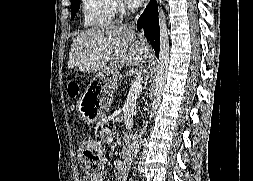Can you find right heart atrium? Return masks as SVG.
<instances>
[{"label": "right heart atrium", "mask_w": 253, "mask_h": 181, "mask_svg": "<svg viewBox=\"0 0 253 181\" xmlns=\"http://www.w3.org/2000/svg\"><path fill=\"white\" fill-rule=\"evenodd\" d=\"M116 12L124 14L127 11V6L122 0H114Z\"/></svg>", "instance_id": "1"}]
</instances>
